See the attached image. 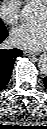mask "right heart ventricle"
<instances>
[{
    "label": "right heart ventricle",
    "mask_w": 47,
    "mask_h": 129,
    "mask_svg": "<svg viewBox=\"0 0 47 129\" xmlns=\"http://www.w3.org/2000/svg\"><path fill=\"white\" fill-rule=\"evenodd\" d=\"M45 0H26L27 3H32V4H35V3H43Z\"/></svg>",
    "instance_id": "obj_1"
}]
</instances>
